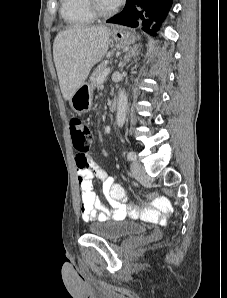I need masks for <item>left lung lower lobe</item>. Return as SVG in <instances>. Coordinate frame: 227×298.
Here are the masks:
<instances>
[{"instance_id":"obj_1","label":"left lung lower lobe","mask_w":227,"mask_h":298,"mask_svg":"<svg viewBox=\"0 0 227 298\" xmlns=\"http://www.w3.org/2000/svg\"><path fill=\"white\" fill-rule=\"evenodd\" d=\"M171 4L172 0H127L122 12L107 22L129 27L141 25L145 32L155 35Z\"/></svg>"}]
</instances>
